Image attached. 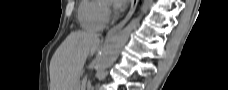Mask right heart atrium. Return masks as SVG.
Wrapping results in <instances>:
<instances>
[{
	"instance_id": "obj_1",
	"label": "right heart atrium",
	"mask_w": 228,
	"mask_h": 90,
	"mask_svg": "<svg viewBox=\"0 0 228 90\" xmlns=\"http://www.w3.org/2000/svg\"><path fill=\"white\" fill-rule=\"evenodd\" d=\"M109 16H110L109 6L107 3L103 2L102 8H101V17L105 22H107L109 19Z\"/></svg>"
}]
</instances>
